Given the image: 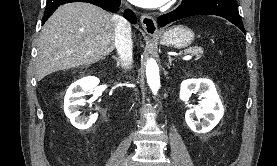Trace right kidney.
Instances as JSON below:
<instances>
[{"mask_svg":"<svg viewBox=\"0 0 277 166\" xmlns=\"http://www.w3.org/2000/svg\"><path fill=\"white\" fill-rule=\"evenodd\" d=\"M99 84V79L96 77H85L74 82L67 90L64 98V112L70 119L73 126L84 130L91 127L98 117L95 113L90 117L80 116L78 106L84 105L85 100L82 98L87 92L93 91Z\"/></svg>","mask_w":277,"mask_h":166,"instance_id":"1","label":"right kidney"}]
</instances>
